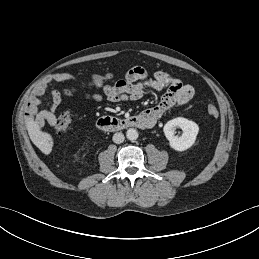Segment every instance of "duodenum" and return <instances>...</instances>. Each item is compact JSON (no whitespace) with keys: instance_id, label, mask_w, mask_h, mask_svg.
I'll return each instance as SVG.
<instances>
[{"instance_id":"1","label":"duodenum","mask_w":259,"mask_h":259,"mask_svg":"<svg viewBox=\"0 0 259 259\" xmlns=\"http://www.w3.org/2000/svg\"><path fill=\"white\" fill-rule=\"evenodd\" d=\"M152 126L150 118L144 114L135 115L125 119H119L114 117H101L97 121V127L103 131H120L130 127L136 128H149Z\"/></svg>"}]
</instances>
